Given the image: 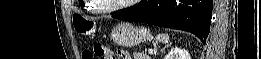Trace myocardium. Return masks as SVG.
<instances>
[{
    "label": "myocardium",
    "instance_id": "f54148a6",
    "mask_svg": "<svg viewBox=\"0 0 261 59\" xmlns=\"http://www.w3.org/2000/svg\"><path fill=\"white\" fill-rule=\"evenodd\" d=\"M130 2L131 1L127 2L126 4H119V5L111 6V7H107V8L98 7V8H95V9L99 13L109 14V13H113V12L119 11V10H121L123 8H126L129 5ZM92 3H95V1H92Z\"/></svg>",
    "mask_w": 261,
    "mask_h": 59
}]
</instances>
